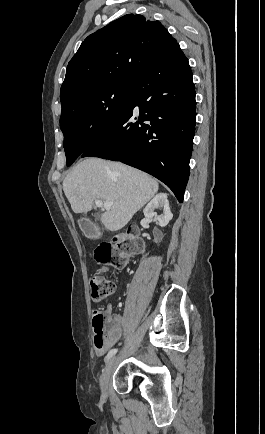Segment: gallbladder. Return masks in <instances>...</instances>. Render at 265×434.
Returning a JSON list of instances; mask_svg holds the SVG:
<instances>
[{"label": "gallbladder", "mask_w": 265, "mask_h": 434, "mask_svg": "<svg viewBox=\"0 0 265 434\" xmlns=\"http://www.w3.org/2000/svg\"><path fill=\"white\" fill-rule=\"evenodd\" d=\"M95 218H97V220H99L100 214H96ZM80 225H81L82 231L86 232L85 233L86 238H88V239L95 238V240H97V238H99L100 233L97 232L98 226H95V224H92L91 219H87V218L81 219Z\"/></svg>", "instance_id": "obj_1"}]
</instances>
